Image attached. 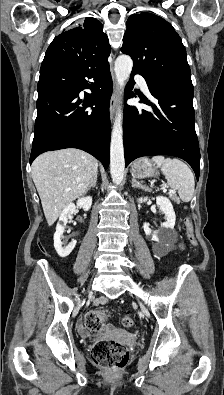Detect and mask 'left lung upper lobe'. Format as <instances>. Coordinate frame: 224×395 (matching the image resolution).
Returning <instances> with one entry per match:
<instances>
[{
	"mask_svg": "<svg viewBox=\"0 0 224 395\" xmlns=\"http://www.w3.org/2000/svg\"><path fill=\"white\" fill-rule=\"evenodd\" d=\"M121 51L133 59V70L156 81L193 86L186 50L170 23L152 13L131 15Z\"/></svg>",
	"mask_w": 224,
	"mask_h": 395,
	"instance_id": "5c2ea615",
	"label": "left lung upper lobe"
}]
</instances>
